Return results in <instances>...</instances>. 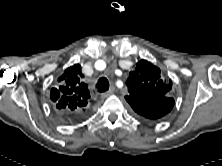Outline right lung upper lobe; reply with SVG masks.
<instances>
[{
    "label": "right lung upper lobe",
    "mask_w": 222,
    "mask_h": 166,
    "mask_svg": "<svg viewBox=\"0 0 222 166\" xmlns=\"http://www.w3.org/2000/svg\"><path fill=\"white\" fill-rule=\"evenodd\" d=\"M82 77L81 66L75 64L58 78L59 87L51 90L52 104L63 116L73 118L82 113L87 105L90 93L87 85L80 81Z\"/></svg>",
    "instance_id": "1"
}]
</instances>
